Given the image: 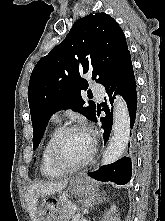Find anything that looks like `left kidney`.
I'll use <instances>...</instances> for the list:
<instances>
[{
    "label": "left kidney",
    "instance_id": "5707ae66",
    "mask_svg": "<svg viewBox=\"0 0 165 221\" xmlns=\"http://www.w3.org/2000/svg\"><path fill=\"white\" fill-rule=\"evenodd\" d=\"M115 210H116V206L113 205L111 208V212H113V211L115 212Z\"/></svg>",
    "mask_w": 165,
    "mask_h": 221
}]
</instances>
